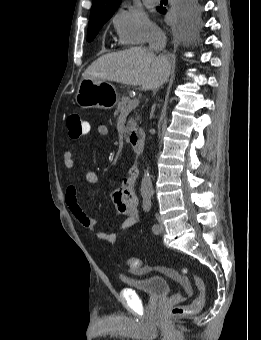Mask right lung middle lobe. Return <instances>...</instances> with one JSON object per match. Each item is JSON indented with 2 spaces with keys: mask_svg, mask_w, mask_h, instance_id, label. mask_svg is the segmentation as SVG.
<instances>
[{
  "mask_svg": "<svg viewBox=\"0 0 261 340\" xmlns=\"http://www.w3.org/2000/svg\"><path fill=\"white\" fill-rule=\"evenodd\" d=\"M179 16L186 32H196L201 24V8L197 0H182ZM110 17L94 21L88 26V41H92Z\"/></svg>",
  "mask_w": 261,
  "mask_h": 340,
  "instance_id": "1",
  "label": "right lung middle lobe"
}]
</instances>
